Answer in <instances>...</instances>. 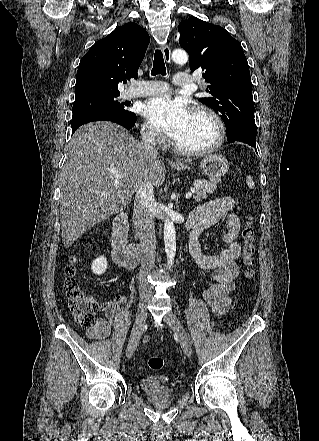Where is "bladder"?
<instances>
[{
    "label": "bladder",
    "mask_w": 319,
    "mask_h": 441,
    "mask_svg": "<svg viewBox=\"0 0 319 441\" xmlns=\"http://www.w3.org/2000/svg\"><path fill=\"white\" fill-rule=\"evenodd\" d=\"M142 391L149 396L174 395L177 384L166 377L148 376L140 381Z\"/></svg>",
    "instance_id": "1"
}]
</instances>
